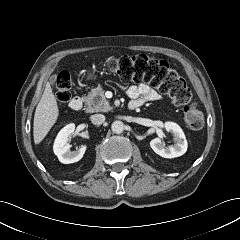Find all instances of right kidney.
I'll use <instances>...</instances> for the list:
<instances>
[{"label":"right kidney","instance_id":"1","mask_svg":"<svg viewBox=\"0 0 240 240\" xmlns=\"http://www.w3.org/2000/svg\"><path fill=\"white\" fill-rule=\"evenodd\" d=\"M74 131L75 124L73 123L68 124L60 130L55 139L53 150L61 163L64 164L75 163L83 157L86 151L87 148L86 146H81L76 151H70L68 138L74 133Z\"/></svg>","mask_w":240,"mask_h":240}]
</instances>
